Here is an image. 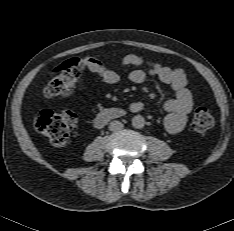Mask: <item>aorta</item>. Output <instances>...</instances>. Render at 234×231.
<instances>
[{
  "label": "aorta",
  "instance_id": "762f6f07",
  "mask_svg": "<svg viewBox=\"0 0 234 231\" xmlns=\"http://www.w3.org/2000/svg\"><path fill=\"white\" fill-rule=\"evenodd\" d=\"M145 125V119L141 115H136L132 118V126L136 129H141Z\"/></svg>",
  "mask_w": 234,
  "mask_h": 231
}]
</instances>
